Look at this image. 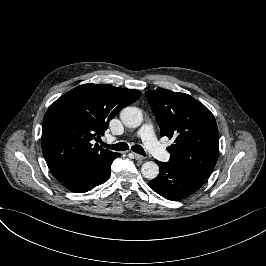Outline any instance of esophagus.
Masks as SVG:
<instances>
[{
	"label": "esophagus",
	"instance_id": "esophagus-1",
	"mask_svg": "<svg viewBox=\"0 0 266 266\" xmlns=\"http://www.w3.org/2000/svg\"><path fill=\"white\" fill-rule=\"evenodd\" d=\"M132 154H133L134 158L137 160H143L145 158L142 155H139L138 153L132 152Z\"/></svg>",
	"mask_w": 266,
	"mask_h": 266
}]
</instances>
